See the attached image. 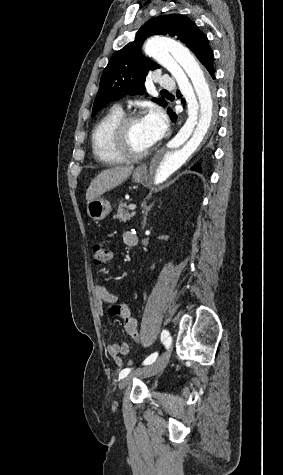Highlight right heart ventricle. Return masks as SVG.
Segmentation results:
<instances>
[{
  "label": "right heart ventricle",
  "instance_id": "e07e8e85",
  "mask_svg": "<svg viewBox=\"0 0 283 475\" xmlns=\"http://www.w3.org/2000/svg\"><path fill=\"white\" fill-rule=\"evenodd\" d=\"M125 115L121 106H112L106 111L96 122L91 133V144L94 155L101 161L99 157V150L104 151L105 147L109 145L108 137L114 125L119 119ZM105 152V151H104Z\"/></svg>",
  "mask_w": 283,
  "mask_h": 475
}]
</instances>
